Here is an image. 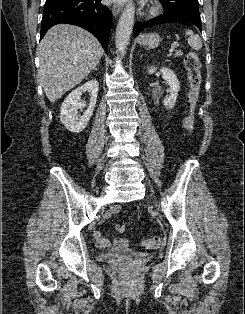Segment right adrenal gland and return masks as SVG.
I'll list each match as a JSON object with an SVG mask.
<instances>
[{
    "label": "right adrenal gland",
    "mask_w": 245,
    "mask_h": 314,
    "mask_svg": "<svg viewBox=\"0 0 245 314\" xmlns=\"http://www.w3.org/2000/svg\"><path fill=\"white\" fill-rule=\"evenodd\" d=\"M94 71H97V67L94 68Z\"/></svg>",
    "instance_id": "1"
}]
</instances>
